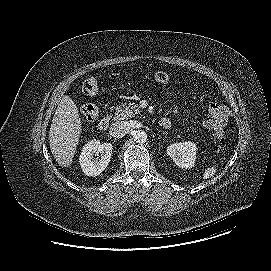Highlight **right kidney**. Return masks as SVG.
<instances>
[{"mask_svg": "<svg viewBox=\"0 0 271 271\" xmlns=\"http://www.w3.org/2000/svg\"><path fill=\"white\" fill-rule=\"evenodd\" d=\"M113 146L111 143H100L98 140H92L83 146L79 157V162L83 172L87 176H98L108 166ZM101 153V158H95Z\"/></svg>", "mask_w": 271, "mask_h": 271, "instance_id": "1", "label": "right kidney"}]
</instances>
